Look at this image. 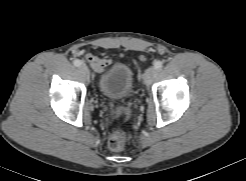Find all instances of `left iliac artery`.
Returning <instances> with one entry per match:
<instances>
[{"instance_id":"left-iliac-artery-1","label":"left iliac artery","mask_w":246,"mask_h":181,"mask_svg":"<svg viewBox=\"0 0 246 181\" xmlns=\"http://www.w3.org/2000/svg\"><path fill=\"white\" fill-rule=\"evenodd\" d=\"M154 67H155L157 70L161 69V68L163 67V62L160 61V60L155 61V62H154Z\"/></svg>"}]
</instances>
